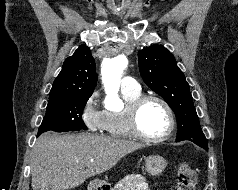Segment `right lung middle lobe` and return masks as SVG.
Instances as JSON below:
<instances>
[{
  "mask_svg": "<svg viewBox=\"0 0 238 190\" xmlns=\"http://www.w3.org/2000/svg\"><path fill=\"white\" fill-rule=\"evenodd\" d=\"M89 97L90 95H72L49 100L38 135L49 130L66 132L87 129L81 115Z\"/></svg>",
  "mask_w": 238,
  "mask_h": 190,
  "instance_id": "1",
  "label": "right lung middle lobe"
}]
</instances>
